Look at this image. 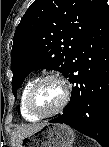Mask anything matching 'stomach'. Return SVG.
<instances>
[{
    "label": "stomach",
    "instance_id": "stomach-1",
    "mask_svg": "<svg viewBox=\"0 0 109 147\" xmlns=\"http://www.w3.org/2000/svg\"><path fill=\"white\" fill-rule=\"evenodd\" d=\"M73 130L64 124H45L24 137L19 147H72Z\"/></svg>",
    "mask_w": 109,
    "mask_h": 147
}]
</instances>
